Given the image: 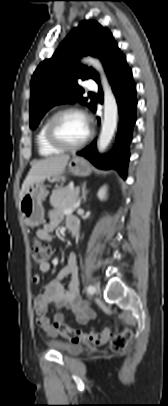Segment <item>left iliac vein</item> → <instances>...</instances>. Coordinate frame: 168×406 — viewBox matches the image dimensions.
<instances>
[{
  "instance_id": "1",
  "label": "left iliac vein",
  "mask_w": 168,
  "mask_h": 406,
  "mask_svg": "<svg viewBox=\"0 0 168 406\" xmlns=\"http://www.w3.org/2000/svg\"><path fill=\"white\" fill-rule=\"evenodd\" d=\"M94 288H95V293L99 294L100 293V286L98 284H95Z\"/></svg>"
}]
</instances>
